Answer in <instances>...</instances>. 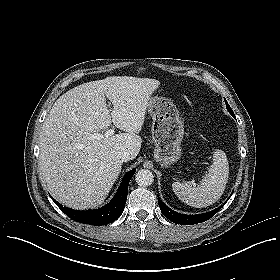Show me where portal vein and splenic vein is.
Listing matches in <instances>:
<instances>
[{
	"instance_id": "portal-vein-and-splenic-vein-1",
	"label": "portal vein and splenic vein",
	"mask_w": 280,
	"mask_h": 280,
	"mask_svg": "<svg viewBox=\"0 0 280 280\" xmlns=\"http://www.w3.org/2000/svg\"><path fill=\"white\" fill-rule=\"evenodd\" d=\"M114 129H109L107 130L104 134H100V133H94L93 134V138L94 139H101V138H109L110 136H112L114 134Z\"/></svg>"
}]
</instances>
